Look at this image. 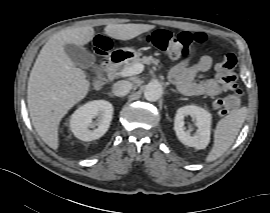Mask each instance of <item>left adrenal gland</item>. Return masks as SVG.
I'll return each instance as SVG.
<instances>
[{
	"mask_svg": "<svg viewBox=\"0 0 270 213\" xmlns=\"http://www.w3.org/2000/svg\"><path fill=\"white\" fill-rule=\"evenodd\" d=\"M171 91H172V92H177V91H176V90H174V89H171Z\"/></svg>",
	"mask_w": 270,
	"mask_h": 213,
	"instance_id": "obj_1",
	"label": "left adrenal gland"
}]
</instances>
